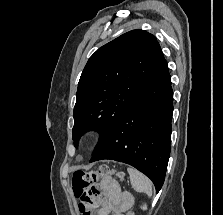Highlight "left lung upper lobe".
Listing matches in <instances>:
<instances>
[{"instance_id":"5c2ea615","label":"left lung upper lobe","mask_w":223,"mask_h":215,"mask_svg":"<svg viewBox=\"0 0 223 215\" xmlns=\"http://www.w3.org/2000/svg\"><path fill=\"white\" fill-rule=\"evenodd\" d=\"M165 61L156 38L139 29L99 48L78 83L73 140L88 130H98L101 138L94 154Z\"/></svg>"}]
</instances>
